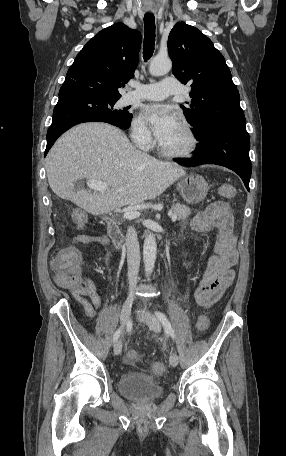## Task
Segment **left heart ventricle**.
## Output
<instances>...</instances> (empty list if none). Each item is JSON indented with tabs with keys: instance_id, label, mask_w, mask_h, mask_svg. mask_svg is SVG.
I'll use <instances>...</instances> for the list:
<instances>
[{
	"instance_id": "1",
	"label": "left heart ventricle",
	"mask_w": 286,
	"mask_h": 456,
	"mask_svg": "<svg viewBox=\"0 0 286 456\" xmlns=\"http://www.w3.org/2000/svg\"><path fill=\"white\" fill-rule=\"evenodd\" d=\"M162 146L170 151H182L189 145V139L179 126L165 141Z\"/></svg>"
}]
</instances>
